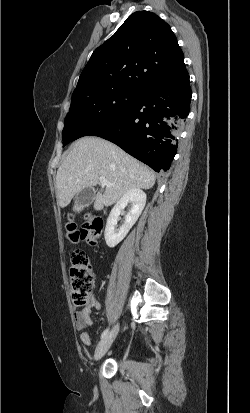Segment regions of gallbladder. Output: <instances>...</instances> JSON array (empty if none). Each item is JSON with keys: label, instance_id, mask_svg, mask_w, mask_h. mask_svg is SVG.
I'll return each instance as SVG.
<instances>
[{"label": "gallbladder", "instance_id": "gallbladder-1", "mask_svg": "<svg viewBox=\"0 0 250 413\" xmlns=\"http://www.w3.org/2000/svg\"><path fill=\"white\" fill-rule=\"evenodd\" d=\"M95 198V191L88 187L80 191L75 196L74 210L80 212L84 207L89 206Z\"/></svg>", "mask_w": 250, "mask_h": 413}]
</instances>
